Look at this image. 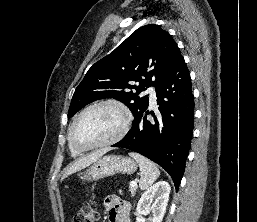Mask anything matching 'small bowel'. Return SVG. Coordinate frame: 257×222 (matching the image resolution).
I'll use <instances>...</instances> for the list:
<instances>
[{"instance_id": "obj_1", "label": "small bowel", "mask_w": 257, "mask_h": 222, "mask_svg": "<svg viewBox=\"0 0 257 222\" xmlns=\"http://www.w3.org/2000/svg\"><path fill=\"white\" fill-rule=\"evenodd\" d=\"M105 208L109 222H130V206L127 202L116 196H109L105 199Z\"/></svg>"}]
</instances>
